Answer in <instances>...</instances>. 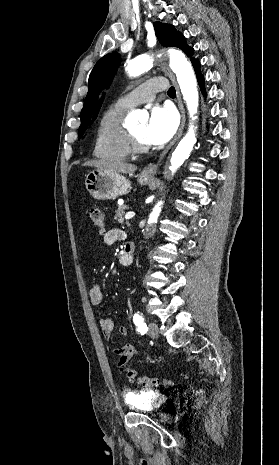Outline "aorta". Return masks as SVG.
<instances>
[{"label":"aorta","mask_w":279,"mask_h":465,"mask_svg":"<svg viewBox=\"0 0 279 465\" xmlns=\"http://www.w3.org/2000/svg\"><path fill=\"white\" fill-rule=\"evenodd\" d=\"M170 57V67L172 71L176 74L177 81L179 83L181 93L183 95V99L186 102L189 116L193 120L197 117L195 114L197 113L198 102H199V95L197 91V81L196 77L192 68L191 63L187 60L185 55L180 51L171 50L169 51ZM152 61L148 56H140L136 59L131 60L126 69L128 74L132 77H138L144 72H146L151 67ZM133 120H138L142 118H146L147 114H143L139 110H134L130 114ZM196 143V135L194 126L190 124L188 132L186 135L181 139L179 144L177 145L176 149L172 153L171 157V166L169 169L172 172H175L189 157L194 144ZM161 205L162 202H159L154 209L152 210L148 224H152L155 222L161 212Z\"/></svg>","instance_id":"obj_1"}]
</instances>
